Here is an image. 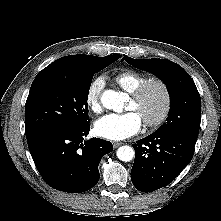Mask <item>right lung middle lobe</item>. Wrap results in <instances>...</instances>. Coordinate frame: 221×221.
<instances>
[{"label":"right lung middle lobe","instance_id":"1","mask_svg":"<svg viewBox=\"0 0 221 221\" xmlns=\"http://www.w3.org/2000/svg\"><path fill=\"white\" fill-rule=\"evenodd\" d=\"M120 57L95 56L83 67L50 64L40 71L25 105L26 138L52 128L87 125V99L93 75Z\"/></svg>","mask_w":221,"mask_h":221}]
</instances>
